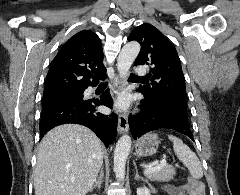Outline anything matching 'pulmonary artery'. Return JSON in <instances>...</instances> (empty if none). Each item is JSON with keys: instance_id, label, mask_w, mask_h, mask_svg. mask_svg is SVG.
<instances>
[{"instance_id": "e3ab8cb5", "label": "pulmonary artery", "mask_w": 240, "mask_h": 195, "mask_svg": "<svg viewBox=\"0 0 240 195\" xmlns=\"http://www.w3.org/2000/svg\"><path fill=\"white\" fill-rule=\"evenodd\" d=\"M136 74H138V76H145L144 66H137ZM92 91V87L88 88V93H91Z\"/></svg>"}]
</instances>
